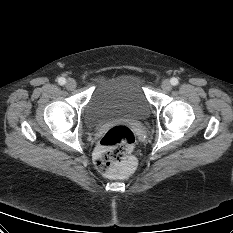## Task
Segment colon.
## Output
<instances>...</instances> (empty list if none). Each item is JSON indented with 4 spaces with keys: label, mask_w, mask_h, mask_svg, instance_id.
Masks as SVG:
<instances>
[{
    "label": "colon",
    "mask_w": 233,
    "mask_h": 233,
    "mask_svg": "<svg viewBox=\"0 0 233 233\" xmlns=\"http://www.w3.org/2000/svg\"><path fill=\"white\" fill-rule=\"evenodd\" d=\"M136 144L134 131L124 124L109 128L97 147L94 162L106 175H124L131 166L130 155Z\"/></svg>",
    "instance_id": "obj_1"
}]
</instances>
